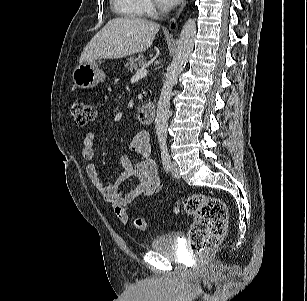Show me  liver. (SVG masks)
<instances>
[{"label":"liver","mask_w":307,"mask_h":301,"mask_svg":"<svg viewBox=\"0 0 307 301\" xmlns=\"http://www.w3.org/2000/svg\"><path fill=\"white\" fill-rule=\"evenodd\" d=\"M159 29L158 23L133 16L112 19L86 45L79 64L144 52L151 46Z\"/></svg>","instance_id":"liver-1"}]
</instances>
